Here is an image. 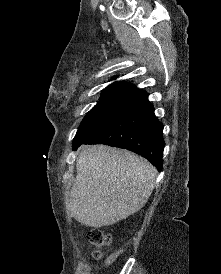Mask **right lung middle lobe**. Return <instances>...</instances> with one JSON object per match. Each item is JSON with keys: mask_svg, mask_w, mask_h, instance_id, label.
<instances>
[{"mask_svg": "<svg viewBox=\"0 0 221 274\" xmlns=\"http://www.w3.org/2000/svg\"><path fill=\"white\" fill-rule=\"evenodd\" d=\"M132 102L133 101L121 99H100L81 122L73 140V147L89 140L104 129Z\"/></svg>", "mask_w": 221, "mask_h": 274, "instance_id": "right-lung-middle-lobe-1", "label": "right lung middle lobe"}]
</instances>
